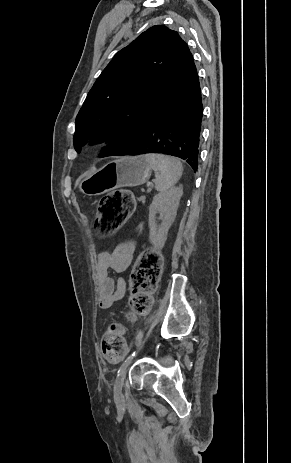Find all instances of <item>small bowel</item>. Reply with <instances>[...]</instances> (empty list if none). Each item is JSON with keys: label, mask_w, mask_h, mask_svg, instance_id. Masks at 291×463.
<instances>
[{"label": "small bowel", "mask_w": 291, "mask_h": 463, "mask_svg": "<svg viewBox=\"0 0 291 463\" xmlns=\"http://www.w3.org/2000/svg\"><path fill=\"white\" fill-rule=\"evenodd\" d=\"M134 250L135 243L126 241L118 244L113 252L101 251L98 253L94 281L99 297V308L108 309L125 296L127 281L124 274L131 265ZM110 269L119 274L117 280L109 276Z\"/></svg>", "instance_id": "small-bowel-1"}]
</instances>
